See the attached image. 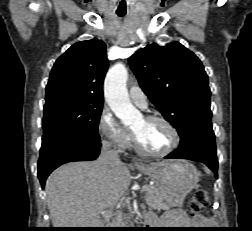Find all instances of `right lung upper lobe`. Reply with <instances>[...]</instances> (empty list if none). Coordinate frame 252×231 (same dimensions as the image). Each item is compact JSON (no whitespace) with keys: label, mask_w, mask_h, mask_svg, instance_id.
<instances>
[{"label":"right lung upper lobe","mask_w":252,"mask_h":231,"mask_svg":"<svg viewBox=\"0 0 252 231\" xmlns=\"http://www.w3.org/2000/svg\"><path fill=\"white\" fill-rule=\"evenodd\" d=\"M108 69L106 45L92 39L72 45L55 62L46 86V99L66 95L103 102V81Z\"/></svg>","instance_id":"1"}]
</instances>
